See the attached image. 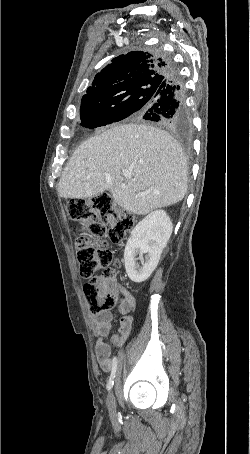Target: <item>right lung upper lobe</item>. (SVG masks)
Segmentation results:
<instances>
[{
    "instance_id": "cb5924a9",
    "label": "right lung upper lobe",
    "mask_w": 250,
    "mask_h": 454,
    "mask_svg": "<svg viewBox=\"0 0 250 454\" xmlns=\"http://www.w3.org/2000/svg\"><path fill=\"white\" fill-rule=\"evenodd\" d=\"M169 63L157 52L140 50L120 55L98 73L81 105L121 98L145 84L164 83Z\"/></svg>"
}]
</instances>
